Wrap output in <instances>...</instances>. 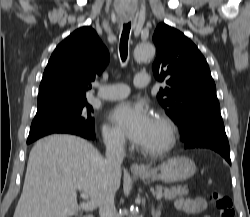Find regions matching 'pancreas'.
Listing matches in <instances>:
<instances>
[{"label": "pancreas", "mask_w": 250, "mask_h": 217, "mask_svg": "<svg viewBox=\"0 0 250 217\" xmlns=\"http://www.w3.org/2000/svg\"><path fill=\"white\" fill-rule=\"evenodd\" d=\"M153 193L161 194L166 200H172L177 197L187 195L189 193V190L187 187H182V186L171 187V188L156 186Z\"/></svg>", "instance_id": "cf45deb5"}]
</instances>
